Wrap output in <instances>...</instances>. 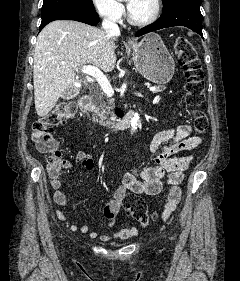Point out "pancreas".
<instances>
[{"mask_svg":"<svg viewBox=\"0 0 240 281\" xmlns=\"http://www.w3.org/2000/svg\"><path fill=\"white\" fill-rule=\"evenodd\" d=\"M157 89L153 93L162 92L166 89L165 86H157ZM93 98V107H92V118L94 122H98L102 126L110 125V122L107 120L108 115L112 112L114 108V100L109 99L107 95L103 92L102 89L97 88L92 93Z\"/></svg>","mask_w":240,"mask_h":281,"instance_id":"cf45deb5","label":"pancreas"}]
</instances>
